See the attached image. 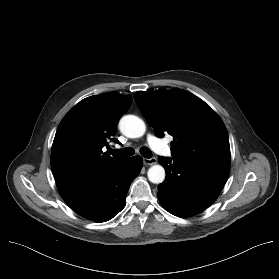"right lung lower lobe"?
Masks as SVG:
<instances>
[{"label": "right lung lower lobe", "instance_id": "1", "mask_svg": "<svg viewBox=\"0 0 279 279\" xmlns=\"http://www.w3.org/2000/svg\"><path fill=\"white\" fill-rule=\"evenodd\" d=\"M142 164L140 156L126 158L103 174L58 190L76 213L96 222H105L125 206L130 184L140 173Z\"/></svg>", "mask_w": 279, "mask_h": 279}]
</instances>
